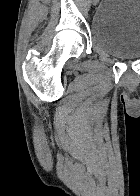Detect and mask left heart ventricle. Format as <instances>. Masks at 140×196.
<instances>
[{"mask_svg": "<svg viewBox=\"0 0 140 196\" xmlns=\"http://www.w3.org/2000/svg\"><path fill=\"white\" fill-rule=\"evenodd\" d=\"M105 192H121V191H105Z\"/></svg>", "mask_w": 140, "mask_h": 196, "instance_id": "left-heart-ventricle-1", "label": "left heart ventricle"}]
</instances>
